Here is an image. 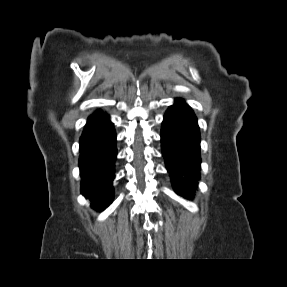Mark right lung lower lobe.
Listing matches in <instances>:
<instances>
[{
	"mask_svg": "<svg viewBox=\"0 0 287 287\" xmlns=\"http://www.w3.org/2000/svg\"><path fill=\"white\" fill-rule=\"evenodd\" d=\"M117 155L116 133L110 117L101 110L87 121L80 138L81 193L102 210L114 197L112 186Z\"/></svg>",
	"mask_w": 287,
	"mask_h": 287,
	"instance_id": "1",
	"label": "right lung lower lobe"
}]
</instances>
